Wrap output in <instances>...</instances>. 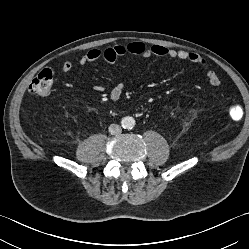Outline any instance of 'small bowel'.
<instances>
[{
  "label": "small bowel",
  "mask_w": 249,
  "mask_h": 249,
  "mask_svg": "<svg viewBox=\"0 0 249 249\" xmlns=\"http://www.w3.org/2000/svg\"><path fill=\"white\" fill-rule=\"evenodd\" d=\"M125 55H130L138 58H168L172 61H190L207 72V79L211 86L218 87L221 83L218 75L209 68L206 60L197 53L186 50L169 48L161 45H153L147 48L143 43L133 42L128 45H116L108 47L104 50L93 48L84 54L80 59L81 65H88L103 59L106 63L114 65L116 61ZM74 64L72 60H65L61 65V70L68 73L72 70ZM125 85L123 82H117L109 91L108 96L110 100H119L124 92ZM94 90L97 92H105L106 88L102 85H96Z\"/></svg>",
  "instance_id": "c3829d8e"
}]
</instances>
